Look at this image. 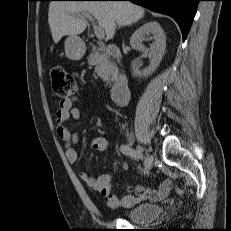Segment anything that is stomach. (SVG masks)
Returning a JSON list of instances; mask_svg holds the SVG:
<instances>
[{
  "instance_id": "stomach-1",
  "label": "stomach",
  "mask_w": 231,
  "mask_h": 231,
  "mask_svg": "<svg viewBox=\"0 0 231 231\" xmlns=\"http://www.w3.org/2000/svg\"><path fill=\"white\" fill-rule=\"evenodd\" d=\"M86 51V47L82 39L78 36H69L65 40L66 56L72 61L80 60Z\"/></svg>"
}]
</instances>
